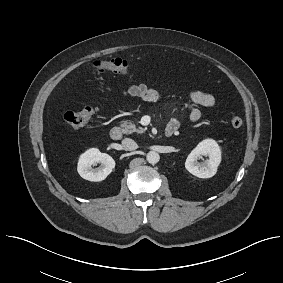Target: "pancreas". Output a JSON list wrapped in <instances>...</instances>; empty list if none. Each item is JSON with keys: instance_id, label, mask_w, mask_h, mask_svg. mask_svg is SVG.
Wrapping results in <instances>:
<instances>
[{"instance_id": "1", "label": "pancreas", "mask_w": 283, "mask_h": 283, "mask_svg": "<svg viewBox=\"0 0 283 283\" xmlns=\"http://www.w3.org/2000/svg\"><path fill=\"white\" fill-rule=\"evenodd\" d=\"M121 127L124 134H132L134 132L142 134L145 132V129L142 127L136 128V125L130 120L122 121Z\"/></svg>"}]
</instances>
